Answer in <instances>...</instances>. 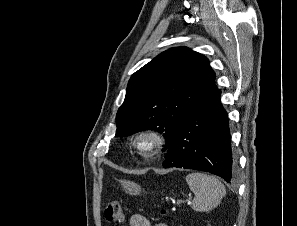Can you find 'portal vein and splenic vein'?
I'll list each match as a JSON object with an SVG mask.
<instances>
[{"mask_svg":"<svg viewBox=\"0 0 297 226\" xmlns=\"http://www.w3.org/2000/svg\"><path fill=\"white\" fill-rule=\"evenodd\" d=\"M183 202H184L183 200H178V201H177L178 204H181V203H183ZM187 203L190 204V198L187 200Z\"/></svg>","mask_w":297,"mask_h":226,"instance_id":"18ae733b","label":"portal vein and splenic vein"}]
</instances>
